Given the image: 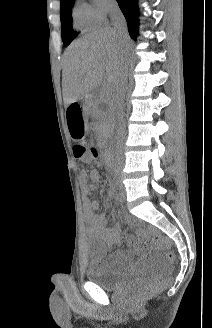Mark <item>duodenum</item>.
Returning a JSON list of instances; mask_svg holds the SVG:
<instances>
[{"mask_svg":"<svg viewBox=\"0 0 212 328\" xmlns=\"http://www.w3.org/2000/svg\"><path fill=\"white\" fill-rule=\"evenodd\" d=\"M105 160H106L107 163H109V161H110L109 160V155L107 153L105 154Z\"/></svg>","mask_w":212,"mask_h":328,"instance_id":"duodenum-1","label":"duodenum"}]
</instances>
